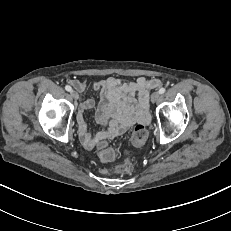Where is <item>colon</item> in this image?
<instances>
[{"mask_svg": "<svg viewBox=\"0 0 231 231\" xmlns=\"http://www.w3.org/2000/svg\"><path fill=\"white\" fill-rule=\"evenodd\" d=\"M148 130L145 128L143 125H137L131 135V143L135 147H142L143 145L146 144L148 140ZM124 154L126 155L125 160L110 169H105V172L108 173H121V174H129L133 171V162L130 158V152L129 151H124ZM117 155V151L110 147L108 144L105 142H102L98 146V156L103 162H109L112 161Z\"/></svg>", "mask_w": 231, "mask_h": 231, "instance_id": "colon-1", "label": "colon"}]
</instances>
